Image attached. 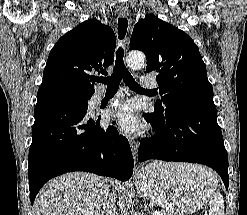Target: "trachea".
I'll list each match as a JSON object with an SVG mask.
<instances>
[{
	"label": "trachea",
	"mask_w": 247,
	"mask_h": 215,
	"mask_svg": "<svg viewBox=\"0 0 247 215\" xmlns=\"http://www.w3.org/2000/svg\"><path fill=\"white\" fill-rule=\"evenodd\" d=\"M128 27V20L126 18H119L118 20V38L123 39L126 35ZM124 50L119 47L116 51V60L113 73L110 77H100L97 78V82L107 85V90H117L119 88L120 82L123 81L126 85L134 91H149L143 89L138 83H136L133 76L130 74L126 68L124 61Z\"/></svg>",
	"instance_id": "trachea-1"
}]
</instances>
